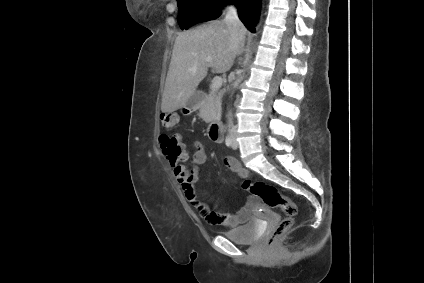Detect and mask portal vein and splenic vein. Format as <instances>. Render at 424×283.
<instances>
[{"label": "portal vein and splenic vein", "instance_id": "portal-vein-and-splenic-vein-1", "mask_svg": "<svg viewBox=\"0 0 424 283\" xmlns=\"http://www.w3.org/2000/svg\"><path fill=\"white\" fill-rule=\"evenodd\" d=\"M222 86V77L221 76H215L212 80L211 84V90L212 92L217 91Z\"/></svg>", "mask_w": 424, "mask_h": 283}]
</instances>
